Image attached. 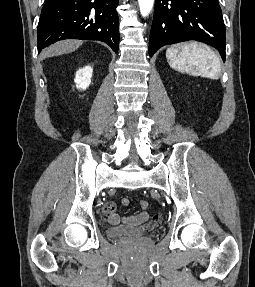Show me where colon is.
Instances as JSON below:
<instances>
[{
  "label": "colon",
  "mask_w": 255,
  "mask_h": 287,
  "mask_svg": "<svg viewBox=\"0 0 255 287\" xmlns=\"http://www.w3.org/2000/svg\"><path fill=\"white\" fill-rule=\"evenodd\" d=\"M140 206H141L142 209H147L149 207V203L147 201H145V200H142L140 202Z\"/></svg>",
  "instance_id": "1"
}]
</instances>
